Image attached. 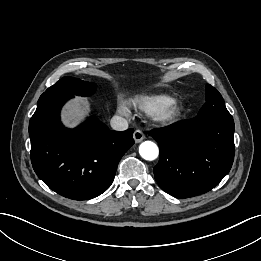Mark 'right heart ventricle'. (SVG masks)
<instances>
[{
    "instance_id": "e07e8e85",
    "label": "right heart ventricle",
    "mask_w": 261,
    "mask_h": 261,
    "mask_svg": "<svg viewBox=\"0 0 261 261\" xmlns=\"http://www.w3.org/2000/svg\"><path fill=\"white\" fill-rule=\"evenodd\" d=\"M171 100L167 95H145L135 98L132 104L143 112L157 113Z\"/></svg>"
}]
</instances>
